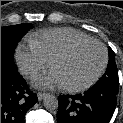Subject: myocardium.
<instances>
[{
	"mask_svg": "<svg viewBox=\"0 0 123 123\" xmlns=\"http://www.w3.org/2000/svg\"><path fill=\"white\" fill-rule=\"evenodd\" d=\"M90 43H94L100 46V48L102 49L103 52V61L102 64L98 70V72L95 74V76L90 79L89 81H87L84 84H80V85H62V88L68 92H81L84 90L89 89L90 87H92L94 84H96L99 79L102 77V75L104 74L107 65H108V50L107 47L99 40L97 39H84V40H79L76 41L70 45H68L66 48H64L63 50H61L60 52H58L57 54H55L52 59L50 60V66L53 67V65L63 59L66 58L67 56H69L71 53H73L77 48L86 45V44H90Z\"/></svg>",
	"mask_w": 123,
	"mask_h": 123,
	"instance_id": "1",
	"label": "myocardium"
}]
</instances>
